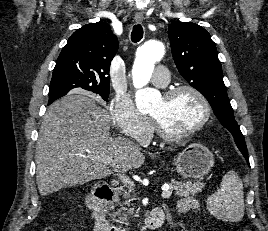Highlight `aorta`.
Instances as JSON below:
<instances>
[{
	"mask_svg": "<svg viewBox=\"0 0 268 231\" xmlns=\"http://www.w3.org/2000/svg\"><path fill=\"white\" fill-rule=\"evenodd\" d=\"M165 54V48L160 41H149L138 48L136 59L132 68L136 106L144 112L151 108V102L160 97L156 89L145 88L151 79L155 63L160 61Z\"/></svg>",
	"mask_w": 268,
	"mask_h": 231,
	"instance_id": "1",
	"label": "aorta"
}]
</instances>
